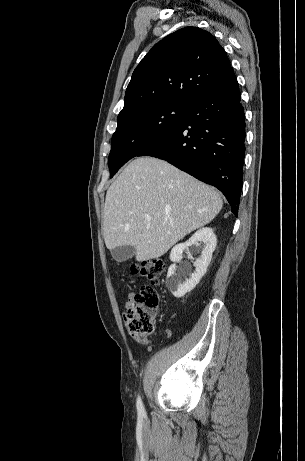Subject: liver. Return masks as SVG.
<instances>
[{
  "label": "liver",
  "instance_id": "1",
  "mask_svg": "<svg viewBox=\"0 0 305 461\" xmlns=\"http://www.w3.org/2000/svg\"><path fill=\"white\" fill-rule=\"evenodd\" d=\"M223 207L214 188L171 164L140 157L128 164L106 193V247H135L137 261L155 259L192 231L211 222ZM145 214L151 220L144 218Z\"/></svg>",
  "mask_w": 305,
  "mask_h": 461
}]
</instances>
